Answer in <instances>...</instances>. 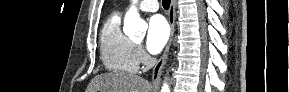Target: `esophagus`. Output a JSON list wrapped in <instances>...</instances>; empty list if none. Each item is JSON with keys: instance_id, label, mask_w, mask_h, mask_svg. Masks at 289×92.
<instances>
[{"instance_id": "34e87169", "label": "esophagus", "mask_w": 289, "mask_h": 92, "mask_svg": "<svg viewBox=\"0 0 289 92\" xmlns=\"http://www.w3.org/2000/svg\"><path fill=\"white\" fill-rule=\"evenodd\" d=\"M176 0H171V5L169 8V12H168V20H169V24H170V37L169 40L166 44V47L164 49V52L161 56V58L159 59V61L157 62V64L155 65L154 69H153V73H152V83L154 87H158L160 84V78H161V74H162V69L166 63L167 57H168V53H169V49H170V45L172 43L173 40V36H174V30H175V16H176Z\"/></svg>"}]
</instances>
